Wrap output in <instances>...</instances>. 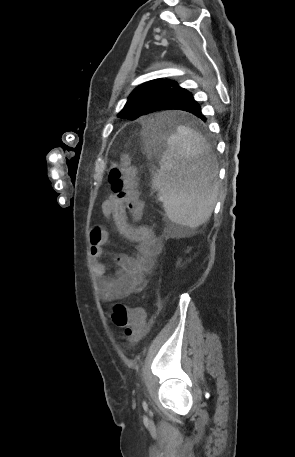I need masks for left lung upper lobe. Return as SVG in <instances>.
I'll return each mask as SVG.
<instances>
[{
    "instance_id": "5c2ea615",
    "label": "left lung upper lobe",
    "mask_w": 295,
    "mask_h": 457,
    "mask_svg": "<svg viewBox=\"0 0 295 457\" xmlns=\"http://www.w3.org/2000/svg\"><path fill=\"white\" fill-rule=\"evenodd\" d=\"M175 81L169 79H156L138 86L129 96L121 112L120 118L136 119L152 112L153 108L167 97L181 92Z\"/></svg>"
}]
</instances>
